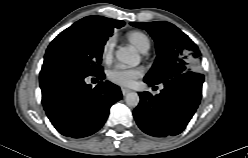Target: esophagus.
<instances>
[{
	"label": "esophagus",
	"mask_w": 248,
	"mask_h": 158,
	"mask_svg": "<svg viewBox=\"0 0 248 158\" xmlns=\"http://www.w3.org/2000/svg\"><path fill=\"white\" fill-rule=\"evenodd\" d=\"M121 91L124 96L131 92V90L127 88H121Z\"/></svg>",
	"instance_id": "esophagus-1"
}]
</instances>
